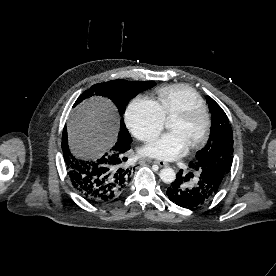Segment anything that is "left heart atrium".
I'll use <instances>...</instances> for the list:
<instances>
[{
	"instance_id": "39dd6f15",
	"label": "left heart atrium",
	"mask_w": 276,
	"mask_h": 276,
	"mask_svg": "<svg viewBox=\"0 0 276 276\" xmlns=\"http://www.w3.org/2000/svg\"><path fill=\"white\" fill-rule=\"evenodd\" d=\"M189 148L181 133L171 131L148 143L143 151L145 155L157 160L174 161L187 154Z\"/></svg>"
}]
</instances>
